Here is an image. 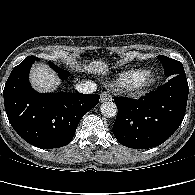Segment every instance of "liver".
Segmentation results:
<instances>
[{
  "mask_svg": "<svg viewBox=\"0 0 195 195\" xmlns=\"http://www.w3.org/2000/svg\"><path fill=\"white\" fill-rule=\"evenodd\" d=\"M84 69L97 74L105 73L108 70V66L103 61L94 60L89 65H84ZM30 80L33 87L40 92H52L59 85L56 75L44 64H37L32 69Z\"/></svg>",
  "mask_w": 195,
  "mask_h": 195,
  "instance_id": "obj_1",
  "label": "liver"
}]
</instances>
